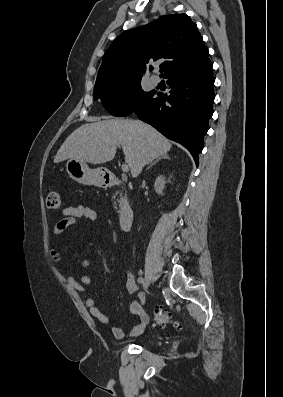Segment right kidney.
<instances>
[{
    "label": "right kidney",
    "mask_w": 283,
    "mask_h": 397,
    "mask_svg": "<svg viewBox=\"0 0 283 397\" xmlns=\"http://www.w3.org/2000/svg\"><path fill=\"white\" fill-rule=\"evenodd\" d=\"M165 184H166V180L163 175H160L156 178L154 183V188L158 195H163V189L165 187Z\"/></svg>",
    "instance_id": "right-kidney-1"
}]
</instances>
